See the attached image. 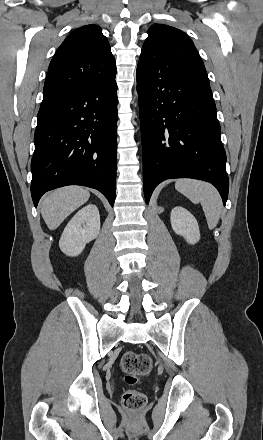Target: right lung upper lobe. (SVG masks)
Wrapping results in <instances>:
<instances>
[{"label":"right lung upper lobe","instance_id":"cb5924a9","mask_svg":"<svg viewBox=\"0 0 263 440\" xmlns=\"http://www.w3.org/2000/svg\"><path fill=\"white\" fill-rule=\"evenodd\" d=\"M116 72L101 28L93 24L80 27L68 35L51 60L42 103L113 78Z\"/></svg>","mask_w":263,"mask_h":440}]
</instances>
